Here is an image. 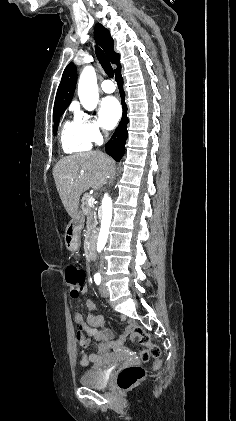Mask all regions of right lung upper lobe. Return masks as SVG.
<instances>
[{
  "label": "right lung upper lobe",
  "instance_id": "obj_1",
  "mask_svg": "<svg viewBox=\"0 0 236 421\" xmlns=\"http://www.w3.org/2000/svg\"><path fill=\"white\" fill-rule=\"evenodd\" d=\"M95 39L105 51L110 62L117 65L115 72L118 71L121 67L119 63L120 56L118 53L114 52V41L111 38L109 31L100 23L95 26ZM76 81V67L73 63H69L63 72L62 79L57 90L54 110L68 107L74 95Z\"/></svg>",
  "mask_w": 236,
  "mask_h": 421
}]
</instances>
